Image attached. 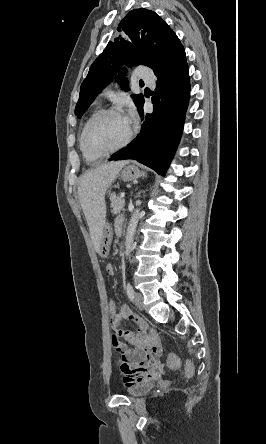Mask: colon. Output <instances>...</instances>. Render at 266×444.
<instances>
[{
    "instance_id": "colon-1",
    "label": "colon",
    "mask_w": 266,
    "mask_h": 444,
    "mask_svg": "<svg viewBox=\"0 0 266 444\" xmlns=\"http://www.w3.org/2000/svg\"><path fill=\"white\" fill-rule=\"evenodd\" d=\"M107 310H108V313L111 315V318L117 314L118 310H117V306H116V303H115L114 300L111 299V300L108 301V303H107ZM167 363L172 368L173 367H178L180 365V360H179V358L176 355L170 354L167 357ZM195 371L196 370H195L194 363L191 360H187L186 364H185V374H186V376L188 378L194 377Z\"/></svg>"
}]
</instances>
